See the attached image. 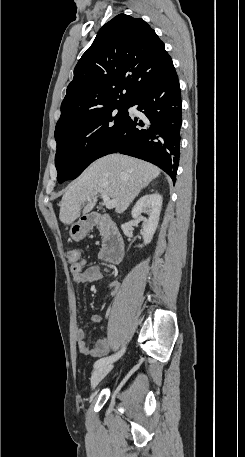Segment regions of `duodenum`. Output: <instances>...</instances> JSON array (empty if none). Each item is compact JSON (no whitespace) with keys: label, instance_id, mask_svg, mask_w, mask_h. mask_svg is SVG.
<instances>
[{"label":"duodenum","instance_id":"duodenum-1","mask_svg":"<svg viewBox=\"0 0 245 457\" xmlns=\"http://www.w3.org/2000/svg\"><path fill=\"white\" fill-rule=\"evenodd\" d=\"M87 226L99 225L104 232V244L100 253L102 260L117 264L124 257V241L116 223L107 214H90L84 218Z\"/></svg>","mask_w":245,"mask_h":457}]
</instances>
